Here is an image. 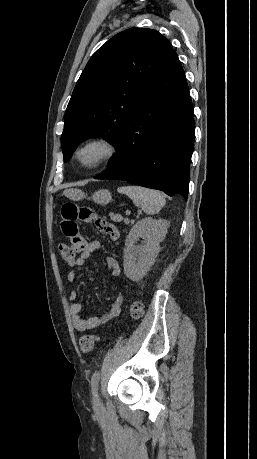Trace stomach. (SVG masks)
Instances as JSON below:
<instances>
[{
  "label": "stomach",
  "mask_w": 257,
  "mask_h": 459,
  "mask_svg": "<svg viewBox=\"0 0 257 459\" xmlns=\"http://www.w3.org/2000/svg\"><path fill=\"white\" fill-rule=\"evenodd\" d=\"M66 196L73 200H80L86 198V194L80 189H69L64 193ZM92 200L98 204H107L111 200V193L106 189H101L94 192L91 196Z\"/></svg>",
  "instance_id": "stomach-1"
}]
</instances>
